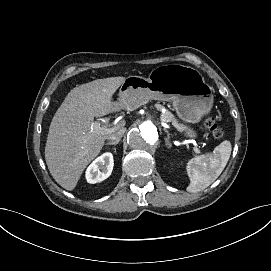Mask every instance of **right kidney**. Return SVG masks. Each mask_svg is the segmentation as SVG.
I'll use <instances>...</instances> for the list:
<instances>
[{
  "label": "right kidney",
  "mask_w": 271,
  "mask_h": 271,
  "mask_svg": "<svg viewBox=\"0 0 271 271\" xmlns=\"http://www.w3.org/2000/svg\"><path fill=\"white\" fill-rule=\"evenodd\" d=\"M113 165L112 154L104 153L88 167L86 172L87 181L94 184L105 180L111 175Z\"/></svg>",
  "instance_id": "right-kidney-1"
}]
</instances>
